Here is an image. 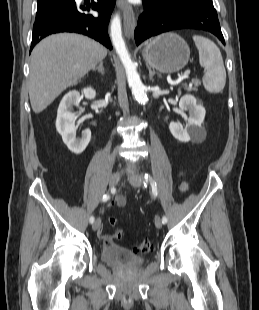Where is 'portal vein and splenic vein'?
<instances>
[{
    "label": "portal vein and splenic vein",
    "instance_id": "obj_1",
    "mask_svg": "<svg viewBox=\"0 0 259 310\" xmlns=\"http://www.w3.org/2000/svg\"><path fill=\"white\" fill-rule=\"evenodd\" d=\"M189 75H190V70L188 69V70H186V71L184 72L183 76H184L185 78H188Z\"/></svg>",
    "mask_w": 259,
    "mask_h": 310
}]
</instances>
